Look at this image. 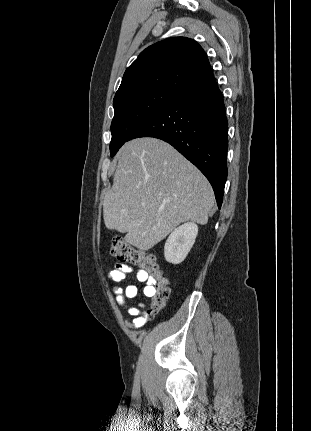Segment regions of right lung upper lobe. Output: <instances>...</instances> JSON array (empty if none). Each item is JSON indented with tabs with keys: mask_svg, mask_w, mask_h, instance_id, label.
<instances>
[{
	"mask_svg": "<svg viewBox=\"0 0 311 431\" xmlns=\"http://www.w3.org/2000/svg\"><path fill=\"white\" fill-rule=\"evenodd\" d=\"M215 81L207 55L194 40L172 37L143 50L126 69L115 96L145 88L181 95Z\"/></svg>",
	"mask_w": 311,
	"mask_h": 431,
	"instance_id": "right-lung-upper-lobe-1",
	"label": "right lung upper lobe"
}]
</instances>
